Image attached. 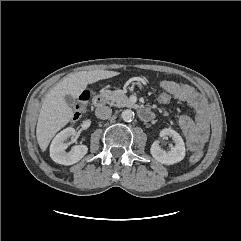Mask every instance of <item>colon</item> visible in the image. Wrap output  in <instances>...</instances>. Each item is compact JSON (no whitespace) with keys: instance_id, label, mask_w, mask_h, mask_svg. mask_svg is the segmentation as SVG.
<instances>
[{"instance_id":"colon-1","label":"colon","mask_w":241,"mask_h":241,"mask_svg":"<svg viewBox=\"0 0 241 241\" xmlns=\"http://www.w3.org/2000/svg\"><path fill=\"white\" fill-rule=\"evenodd\" d=\"M89 97L90 96L87 92H83L80 95V97L77 99V101L73 106V120L79 119L82 116V114L85 112L88 106ZM156 100L160 104H167L172 100V95L165 89H161L156 95ZM201 157H202V153L197 152L190 157V161L192 163H196L201 159Z\"/></svg>"}]
</instances>
